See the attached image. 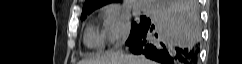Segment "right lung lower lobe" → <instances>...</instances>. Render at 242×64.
Masks as SVG:
<instances>
[{"label":"right lung lower lobe","mask_w":242,"mask_h":64,"mask_svg":"<svg viewBox=\"0 0 242 64\" xmlns=\"http://www.w3.org/2000/svg\"><path fill=\"white\" fill-rule=\"evenodd\" d=\"M159 33L150 37L151 22L126 44L134 54H142L161 64H197L200 40L199 8L196 0H158Z\"/></svg>","instance_id":"obj_1"}]
</instances>
